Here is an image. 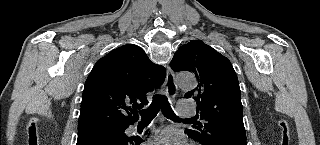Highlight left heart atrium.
<instances>
[{
	"instance_id": "obj_1",
	"label": "left heart atrium",
	"mask_w": 320,
	"mask_h": 145,
	"mask_svg": "<svg viewBox=\"0 0 320 145\" xmlns=\"http://www.w3.org/2000/svg\"><path fill=\"white\" fill-rule=\"evenodd\" d=\"M154 145H184L181 134L175 130L168 129L153 140Z\"/></svg>"
}]
</instances>
